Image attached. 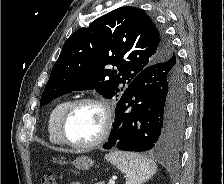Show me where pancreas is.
<instances>
[{
	"label": "pancreas",
	"instance_id": "cf45deb5",
	"mask_svg": "<svg viewBox=\"0 0 224 184\" xmlns=\"http://www.w3.org/2000/svg\"><path fill=\"white\" fill-rule=\"evenodd\" d=\"M95 184H102L101 182L95 183Z\"/></svg>",
	"mask_w": 224,
	"mask_h": 184
}]
</instances>
